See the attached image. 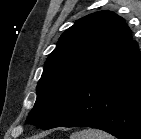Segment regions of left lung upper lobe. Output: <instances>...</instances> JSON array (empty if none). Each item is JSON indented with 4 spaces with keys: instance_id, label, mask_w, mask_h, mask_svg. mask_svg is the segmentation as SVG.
I'll return each mask as SVG.
<instances>
[{
    "instance_id": "5c2ea615",
    "label": "left lung upper lobe",
    "mask_w": 141,
    "mask_h": 139,
    "mask_svg": "<svg viewBox=\"0 0 141 139\" xmlns=\"http://www.w3.org/2000/svg\"><path fill=\"white\" fill-rule=\"evenodd\" d=\"M131 41L123 18L110 11L79 19L47 58L27 123L44 128L84 80Z\"/></svg>"
}]
</instances>
